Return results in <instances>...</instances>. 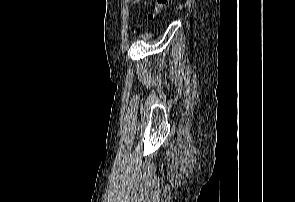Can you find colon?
Here are the masks:
<instances>
[{"label":"colon","instance_id":"colon-1","mask_svg":"<svg viewBox=\"0 0 295 202\" xmlns=\"http://www.w3.org/2000/svg\"><path fill=\"white\" fill-rule=\"evenodd\" d=\"M168 0H154L153 11L149 14V19H154L165 7Z\"/></svg>","mask_w":295,"mask_h":202}]
</instances>
